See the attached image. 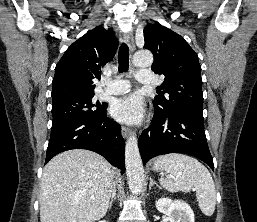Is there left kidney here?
Instances as JSON below:
<instances>
[{"mask_svg": "<svg viewBox=\"0 0 257 222\" xmlns=\"http://www.w3.org/2000/svg\"><path fill=\"white\" fill-rule=\"evenodd\" d=\"M156 208L168 216L169 222H194L193 210L184 201L161 198L156 201Z\"/></svg>", "mask_w": 257, "mask_h": 222, "instance_id": "obj_1", "label": "left kidney"}]
</instances>
